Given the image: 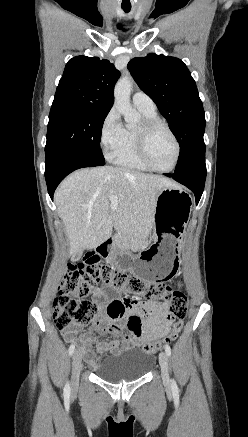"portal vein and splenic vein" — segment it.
Masks as SVG:
<instances>
[{
    "label": "portal vein and splenic vein",
    "instance_id": "obj_1",
    "mask_svg": "<svg viewBox=\"0 0 248 437\" xmlns=\"http://www.w3.org/2000/svg\"><path fill=\"white\" fill-rule=\"evenodd\" d=\"M110 204H111V210L115 211L118 206V198L116 196H110L109 197Z\"/></svg>",
    "mask_w": 248,
    "mask_h": 437
}]
</instances>
